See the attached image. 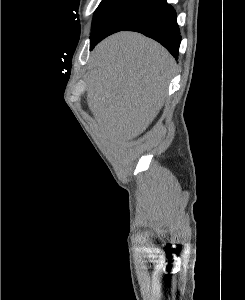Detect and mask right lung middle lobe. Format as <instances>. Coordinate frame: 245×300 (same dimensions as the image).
I'll list each match as a JSON object with an SVG mask.
<instances>
[{"mask_svg": "<svg viewBox=\"0 0 245 300\" xmlns=\"http://www.w3.org/2000/svg\"><path fill=\"white\" fill-rule=\"evenodd\" d=\"M162 3L140 0H102L92 22L91 44L121 31Z\"/></svg>", "mask_w": 245, "mask_h": 300, "instance_id": "obj_1", "label": "right lung middle lobe"}]
</instances>
